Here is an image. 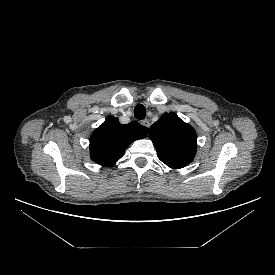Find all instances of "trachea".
I'll list each match as a JSON object with an SVG mask.
<instances>
[{
  "mask_svg": "<svg viewBox=\"0 0 275 275\" xmlns=\"http://www.w3.org/2000/svg\"><path fill=\"white\" fill-rule=\"evenodd\" d=\"M134 116L139 119V120H143L146 116V109L144 107V105L142 104H138L135 106L134 108Z\"/></svg>",
  "mask_w": 275,
  "mask_h": 275,
  "instance_id": "trachea-1",
  "label": "trachea"
}]
</instances>
